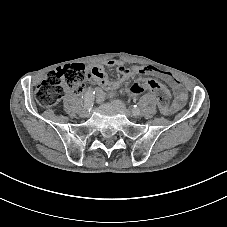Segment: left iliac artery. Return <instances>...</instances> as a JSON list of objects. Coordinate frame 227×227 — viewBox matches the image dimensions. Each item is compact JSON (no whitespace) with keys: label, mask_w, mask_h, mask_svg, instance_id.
I'll use <instances>...</instances> for the list:
<instances>
[{"label":"left iliac artery","mask_w":227,"mask_h":227,"mask_svg":"<svg viewBox=\"0 0 227 227\" xmlns=\"http://www.w3.org/2000/svg\"><path fill=\"white\" fill-rule=\"evenodd\" d=\"M134 111H137V115H139L140 109H139V107H138L137 105H134V106H133L132 112H134Z\"/></svg>","instance_id":"1"}]
</instances>
